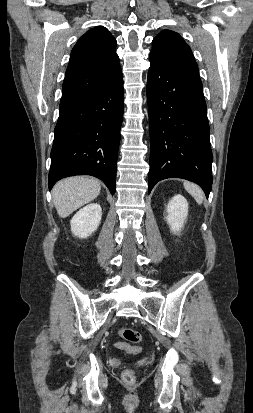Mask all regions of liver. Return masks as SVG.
Masks as SVG:
<instances>
[{"label":"liver","instance_id":"6515ba94","mask_svg":"<svg viewBox=\"0 0 253 413\" xmlns=\"http://www.w3.org/2000/svg\"><path fill=\"white\" fill-rule=\"evenodd\" d=\"M100 191L101 185L98 180L75 176L57 182L52 190V198L58 215L65 218L94 200Z\"/></svg>","mask_w":253,"mask_h":413}]
</instances>
